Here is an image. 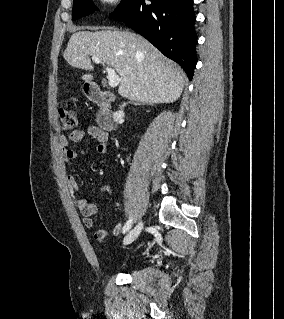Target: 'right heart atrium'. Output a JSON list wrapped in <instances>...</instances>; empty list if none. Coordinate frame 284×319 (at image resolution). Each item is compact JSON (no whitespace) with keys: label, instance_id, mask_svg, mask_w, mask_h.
Masks as SVG:
<instances>
[{"label":"right heart atrium","instance_id":"d8ad5b80","mask_svg":"<svg viewBox=\"0 0 284 319\" xmlns=\"http://www.w3.org/2000/svg\"><path fill=\"white\" fill-rule=\"evenodd\" d=\"M99 2L104 6L112 7L116 6L120 0H99Z\"/></svg>","mask_w":284,"mask_h":319}]
</instances>
